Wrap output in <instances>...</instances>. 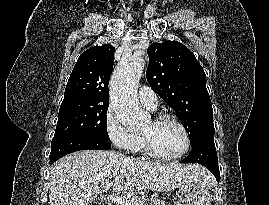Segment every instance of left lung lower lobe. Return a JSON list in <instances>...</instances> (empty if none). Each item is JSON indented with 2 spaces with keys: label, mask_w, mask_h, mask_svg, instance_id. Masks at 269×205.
<instances>
[{
  "label": "left lung lower lobe",
  "mask_w": 269,
  "mask_h": 205,
  "mask_svg": "<svg viewBox=\"0 0 269 205\" xmlns=\"http://www.w3.org/2000/svg\"><path fill=\"white\" fill-rule=\"evenodd\" d=\"M184 163H199L208 168L219 182L220 173L218 157L214 144V132L201 136L194 144L188 157L183 159Z\"/></svg>",
  "instance_id": "0a47b994"
}]
</instances>
